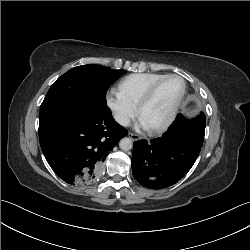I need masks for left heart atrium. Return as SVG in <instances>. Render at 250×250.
Segmentation results:
<instances>
[{"instance_id": "obj_1", "label": "left heart atrium", "mask_w": 250, "mask_h": 250, "mask_svg": "<svg viewBox=\"0 0 250 250\" xmlns=\"http://www.w3.org/2000/svg\"><path fill=\"white\" fill-rule=\"evenodd\" d=\"M139 126L141 127H147L146 124L141 120Z\"/></svg>"}]
</instances>
